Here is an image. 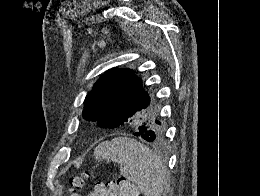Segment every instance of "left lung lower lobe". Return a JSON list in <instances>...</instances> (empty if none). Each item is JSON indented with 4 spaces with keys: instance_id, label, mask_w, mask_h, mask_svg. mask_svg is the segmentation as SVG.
<instances>
[{
    "instance_id": "1",
    "label": "left lung lower lobe",
    "mask_w": 260,
    "mask_h": 196,
    "mask_svg": "<svg viewBox=\"0 0 260 196\" xmlns=\"http://www.w3.org/2000/svg\"><path fill=\"white\" fill-rule=\"evenodd\" d=\"M134 113V109L123 106H111L98 120V124L103 126H117L125 123ZM132 134L140 136L148 142L153 141V135L147 125H140L132 130Z\"/></svg>"
}]
</instances>
